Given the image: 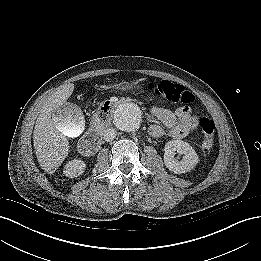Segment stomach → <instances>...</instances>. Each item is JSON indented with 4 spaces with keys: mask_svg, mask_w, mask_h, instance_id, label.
<instances>
[{
    "mask_svg": "<svg viewBox=\"0 0 261 261\" xmlns=\"http://www.w3.org/2000/svg\"><path fill=\"white\" fill-rule=\"evenodd\" d=\"M136 85H137V82H122L119 84H115L112 87L115 89L126 90V89H130Z\"/></svg>",
    "mask_w": 261,
    "mask_h": 261,
    "instance_id": "obj_1",
    "label": "stomach"
}]
</instances>
